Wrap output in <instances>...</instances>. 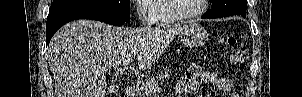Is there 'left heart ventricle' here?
<instances>
[{"instance_id":"b2bd125f","label":"left heart ventricle","mask_w":302,"mask_h":97,"mask_svg":"<svg viewBox=\"0 0 302 97\" xmlns=\"http://www.w3.org/2000/svg\"><path fill=\"white\" fill-rule=\"evenodd\" d=\"M176 10L181 14H191L201 7V0H175Z\"/></svg>"}]
</instances>
